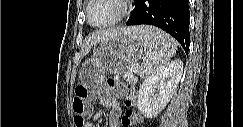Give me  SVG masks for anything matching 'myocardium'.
<instances>
[{
	"label": "myocardium",
	"instance_id": "f54148a6",
	"mask_svg": "<svg viewBox=\"0 0 243 127\" xmlns=\"http://www.w3.org/2000/svg\"><path fill=\"white\" fill-rule=\"evenodd\" d=\"M94 1L95 0H89L85 8L86 20L89 23V25H91L92 27L105 28V27L113 26L119 23L120 21H122L130 13V4H131L130 0H114L120 6L119 14L108 22L95 24L90 19V7Z\"/></svg>",
	"mask_w": 243,
	"mask_h": 127
}]
</instances>
